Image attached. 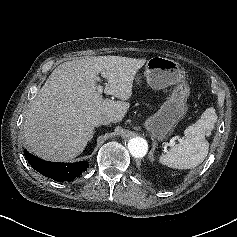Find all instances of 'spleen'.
Returning <instances> with one entry per match:
<instances>
[{
    "label": "spleen",
    "mask_w": 237,
    "mask_h": 237,
    "mask_svg": "<svg viewBox=\"0 0 237 237\" xmlns=\"http://www.w3.org/2000/svg\"><path fill=\"white\" fill-rule=\"evenodd\" d=\"M216 121L215 109H206L195 124L185 129L184 137L179 143L164 150L159 161L175 169H192L200 165L208 154L209 142L206 136L215 128Z\"/></svg>",
    "instance_id": "3e777b00"
}]
</instances>
